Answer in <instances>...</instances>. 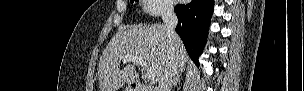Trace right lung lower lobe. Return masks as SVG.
<instances>
[{"mask_svg": "<svg viewBox=\"0 0 304 91\" xmlns=\"http://www.w3.org/2000/svg\"><path fill=\"white\" fill-rule=\"evenodd\" d=\"M213 7V0H192L187 5L174 8L178 17L176 32L196 65L206 41Z\"/></svg>", "mask_w": 304, "mask_h": 91, "instance_id": "right-lung-lower-lobe-1", "label": "right lung lower lobe"}]
</instances>
